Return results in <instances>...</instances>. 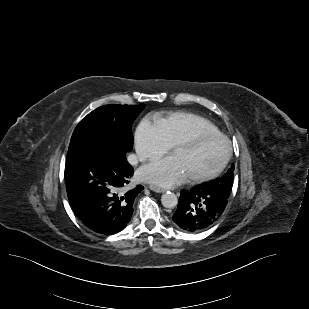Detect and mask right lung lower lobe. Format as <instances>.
<instances>
[{"instance_id": "98d812e1", "label": "right lung lower lobe", "mask_w": 309, "mask_h": 309, "mask_svg": "<svg viewBox=\"0 0 309 309\" xmlns=\"http://www.w3.org/2000/svg\"><path fill=\"white\" fill-rule=\"evenodd\" d=\"M134 170L126 151L113 140L89 136L70 143L65 182L70 204L91 230L112 235L122 231L143 186H128Z\"/></svg>"}]
</instances>
